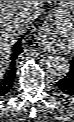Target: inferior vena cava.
Masks as SVG:
<instances>
[{
	"mask_svg": "<svg viewBox=\"0 0 74 122\" xmlns=\"http://www.w3.org/2000/svg\"><path fill=\"white\" fill-rule=\"evenodd\" d=\"M32 20H33V16L32 17H28L20 25V28H23V29L27 30L29 28V26L32 24Z\"/></svg>",
	"mask_w": 74,
	"mask_h": 122,
	"instance_id": "inferior-vena-cava-1",
	"label": "inferior vena cava"
}]
</instances>
